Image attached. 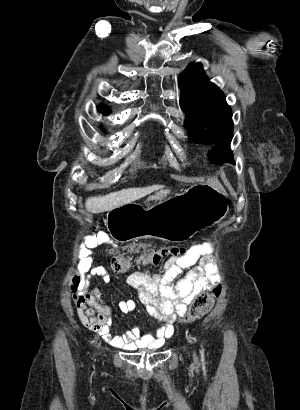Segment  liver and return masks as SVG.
<instances>
[{
	"mask_svg": "<svg viewBox=\"0 0 300 410\" xmlns=\"http://www.w3.org/2000/svg\"><path fill=\"white\" fill-rule=\"evenodd\" d=\"M161 186H149L145 188H128L121 191L112 192L105 196L90 197L86 200L85 206L89 212L102 213L110 211L118 206L132 203L155 190Z\"/></svg>",
	"mask_w": 300,
	"mask_h": 410,
	"instance_id": "liver-1",
	"label": "liver"
}]
</instances>
